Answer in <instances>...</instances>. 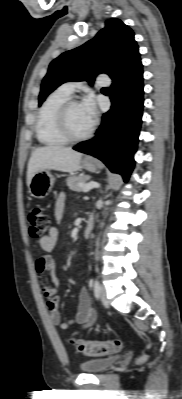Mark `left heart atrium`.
<instances>
[{
	"instance_id": "obj_1",
	"label": "left heart atrium",
	"mask_w": 182,
	"mask_h": 399,
	"mask_svg": "<svg viewBox=\"0 0 182 399\" xmlns=\"http://www.w3.org/2000/svg\"><path fill=\"white\" fill-rule=\"evenodd\" d=\"M81 107H82L83 111L85 112V114L90 119V121L93 123L97 116V110H96V106H95V102H94L93 98L90 96L86 97L82 101Z\"/></svg>"
}]
</instances>
